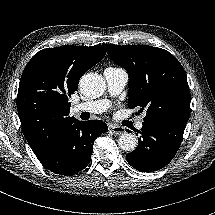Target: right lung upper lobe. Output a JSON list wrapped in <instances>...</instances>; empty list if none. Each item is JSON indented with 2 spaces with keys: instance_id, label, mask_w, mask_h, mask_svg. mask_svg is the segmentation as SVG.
I'll return each mask as SVG.
<instances>
[{
  "instance_id": "obj_1",
  "label": "right lung upper lobe",
  "mask_w": 215,
  "mask_h": 215,
  "mask_svg": "<svg viewBox=\"0 0 215 215\" xmlns=\"http://www.w3.org/2000/svg\"><path fill=\"white\" fill-rule=\"evenodd\" d=\"M106 54V45L62 46L37 52L26 65L19 84L17 110L23 134L37 157L68 123V96L81 76Z\"/></svg>"
}]
</instances>
